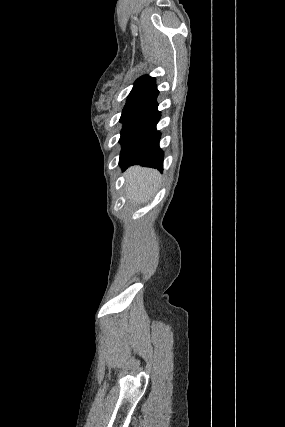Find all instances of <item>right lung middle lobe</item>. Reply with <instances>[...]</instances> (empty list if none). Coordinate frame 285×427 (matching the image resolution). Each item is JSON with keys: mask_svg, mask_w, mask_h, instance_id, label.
<instances>
[{"mask_svg": "<svg viewBox=\"0 0 285 427\" xmlns=\"http://www.w3.org/2000/svg\"><path fill=\"white\" fill-rule=\"evenodd\" d=\"M147 116H135L120 120L123 123L119 142L122 144L119 164L129 163L142 144L144 122Z\"/></svg>", "mask_w": 285, "mask_h": 427, "instance_id": "1", "label": "right lung middle lobe"}]
</instances>
